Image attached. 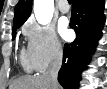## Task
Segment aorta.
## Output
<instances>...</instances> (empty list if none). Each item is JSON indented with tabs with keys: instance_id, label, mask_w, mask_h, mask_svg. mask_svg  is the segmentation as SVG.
Segmentation results:
<instances>
[{
	"instance_id": "762f6f07",
	"label": "aorta",
	"mask_w": 107,
	"mask_h": 89,
	"mask_svg": "<svg viewBox=\"0 0 107 89\" xmlns=\"http://www.w3.org/2000/svg\"><path fill=\"white\" fill-rule=\"evenodd\" d=\"M54 13V0H34V14L38 23L51 22Z\"/></svg>"
}]
</instances>
